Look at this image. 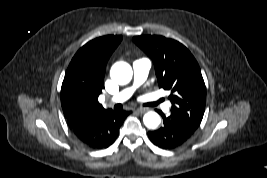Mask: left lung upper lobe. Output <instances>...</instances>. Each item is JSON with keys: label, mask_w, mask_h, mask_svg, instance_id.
I'll use <instances>...</instances> for the list:
<instances>
[{"label": "left lung upper lobe", "mask_w": 267, "mask_h": 178, "mask_svg": "<svg viewBox=\"0 0 267 178\" xmlns=\"http://www.w3.org/2000/svg\"><path fill=\"white\" fill-rule=\"evenodd\" d=\"M133 41L152 59L159 87L171 92V115L196 130L205 111L206 87L193 55L163 36H135Z\"/></svg>", "instance_id": "5c2ea615"}]
</instances>
